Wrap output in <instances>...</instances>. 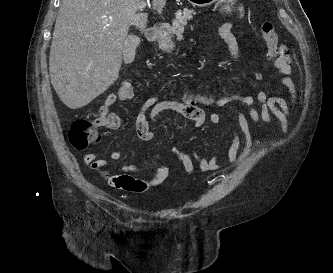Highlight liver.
<instances>
[{"mask_svg": "<svg viewBox=\"0 0 333 273\" xmlns=\"http://www.w3.org/2000/svg\"><path fill=\"white\" fill-rule=\"evenodd\" d=\"M144 0H62L53 32L49 72L53 88L70 109L89 104L118 78L131 25L142 32ZM166 0H153L158 12Z\"/></svg>", "mask_w": 333, "mask_h": 273, "instance_id": "liver-1", "label": "liver"}]
</instances>
